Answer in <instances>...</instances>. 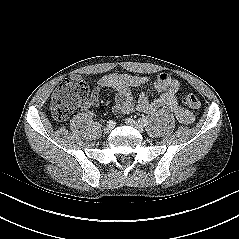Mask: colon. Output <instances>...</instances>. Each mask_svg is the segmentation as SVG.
Listing matches in <instances>:
<instances>
[{
    "mask_svg": "<svg viewBox=\"0 0 239 239\" xmlns=\"http://www.w3.org/2000/svg\"><path fill=\"white\" fill-rule=\"evenodd\" d=\"M88 94L87 85L78 79H66L55 89L51 101L50 110L55 120H66L71 112L77 108ZM183 103L190 108L200 105L198 97L190 91L181 92Z\"/></svg>",
    "mask_w": 239,
    "mask_h": 239,
    "instance_id": "obj_1",
    "label": "colon"
}]
</instances>
